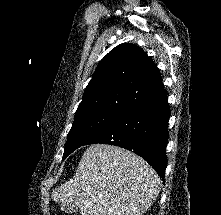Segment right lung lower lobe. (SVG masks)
Wrapping results in <instances>:
<instances>
[{
	"label": "right lung lower lobe",
	"instance_id": "obj_1",
	"mask_svg": "<svg viewBox=\"0 0 221 215\" xmlns=\"http://www.w3.org/2000/svg\"><path fill=\"white\" fill-rule=\"evenodd\" d=\"M170 109L163 89L156 96L121 116L88 144L102 143L133 151L164 177Z\"/></svg>",
	"mask_w": 221,
	"mask_h": 215
}]
</instances>
